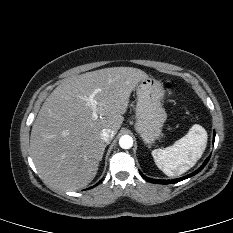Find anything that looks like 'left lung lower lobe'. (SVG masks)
I'll list each match as a JSON object with an SVG mask.
<instances>
[{
	"instance_id": "left-lung-lower-lobe-1",
	"label": "left lung lower lobe",
	"mask_w": 233,
	"mask_h": 233,
	"mask_svg": "<svg viewBox=\"0 0 233 233\" xmlns=\"http://www.w3.org/2000/svg\"><path fill=\"white\" fill-rule=\"evenodd\" d=\"M214 140H215V132H214ZM214 140H213V141H214ZM209 158H210V157H209ZM209 158H207L206 161L203 163V165H202L199 169H197L195 172H193V173H191V174H189V175H187V176H185V177H182V178L173 179V180H158V179H151V178H148V177L144 176L142 173H141V175H142V177H143L144 179H146L147 181H149V182H151V183H157V184H171V183H177V182H180V181H182V180H184V179H187V178H189V177H192L193 175H195V174H197L199 171H201V170L205 167V165L208 163Z\"/></svg>"
}]
</instances>
